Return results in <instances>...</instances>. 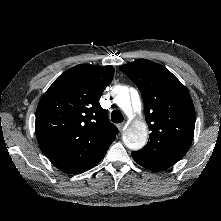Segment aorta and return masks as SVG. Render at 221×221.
<instances>
[{"label":"aorta","mask_w":221,"mask_h":221,"mask_svg":"<svg viewBox=\"0 0 221 221\" xmlns=\"http://www.w3.org/2000/svg\"><path fill=\"white\" fill-rule=\"evenodd\" d=\"M115 102L127 114L133 109L135 112L141 110V100L135 89L131 91L122 85L115 86ZM148 130L144 121L133 122L123 134L124 144L131 150L141 149L147 142Z\"/></svg>","instance_id":"aorta-1"}]
</instances>
